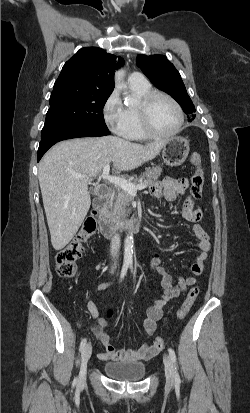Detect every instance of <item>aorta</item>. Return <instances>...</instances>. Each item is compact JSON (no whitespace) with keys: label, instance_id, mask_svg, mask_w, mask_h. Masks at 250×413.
Here are the masks:
<instances>
[{"label":"aorta","instance_id":"762f6f07","mask_svg":"<svg viewBox=\"0 0 250 413\" xmlns=\"http://www.w3.org/2000/svg\"><path fill=\"white\" fill-rule=\"evenodd\" d=\"M124 75H125V71L123 69H119L115 73V87L117 89L125 88ZM127 103L130 105L133 103V100L131 98H127ZM132 263H133V234L129 232L124 242V264L132 265Z\"/></svg>","mask_w":250,"mask_h":413}]
</instances>
